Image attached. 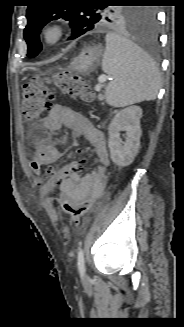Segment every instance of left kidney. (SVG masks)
<instances>
[{"instance_id": "obj_1", "label": "left kidney", "mask_w": 184, "mask_h": 327, "mask_svg": "<svg viewBox=\"0 0 184 327\" xmlns=\"http://www.w3.org/2000/svg\"><path fill=\"white\" fill-rule=\"evenodd\" d=\"M141 117L142 109L139 106H129L116 113L108 127L111 160L120 167L129 166L138 154ZM120 131L126 132L125 142L120 138Z\"/></svg>"}]
</instances>
